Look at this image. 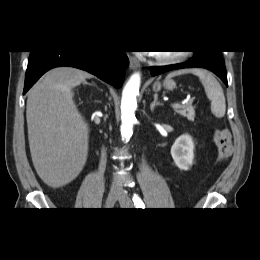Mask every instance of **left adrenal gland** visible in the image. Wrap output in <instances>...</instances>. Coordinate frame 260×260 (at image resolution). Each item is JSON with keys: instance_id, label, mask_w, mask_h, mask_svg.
<instances>
[{"instance_id": "1", "label": "left adrenal gland", "mask_w": 260, "mask_h": 260, "mask_svg": "<svg viewBox=\"0 0 260 260\" xmlns=\"http://www.w3.org/2000/svg\"><path fill=\"white\" fill-rule=\"evenodd\" d=\"M162 105L158 102V95L157 93L154 95V101L150 105V110L153 111L156 106Z\"/></svg>"}]
</instances>
